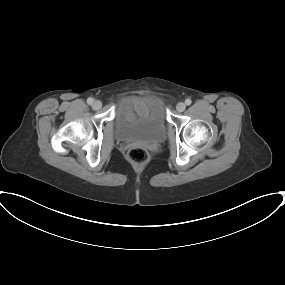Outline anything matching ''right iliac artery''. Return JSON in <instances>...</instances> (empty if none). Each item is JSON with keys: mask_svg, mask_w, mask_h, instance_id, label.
Returning <instances> with one entry per match:
<instances>
[{"mask_svg": "<svg viewBox=\"0 0 285 285\" xmlns=\"http://www.w3.org/2000/svg\"><path fill=\"white\" fill-rule=\"evenodd\" d=\"M93 101H94V100H93V98H91V97L87 99V103H88L89 105H91V104L93 103Z\"/></svg>", "mask_w": 285, "mask_h": 285, "instance_id": "obj_1", "label": "right iliac artery"}]
</instances>
